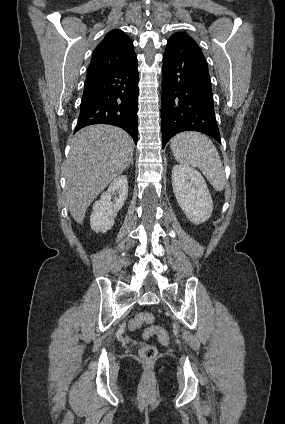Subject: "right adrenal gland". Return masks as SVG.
Listing matches in <instances>:
<instances>
[{
	"label": "right adrenal gland",
	"mask_w": 285,
	"mask_h": 424,
	"mask_svg": "<svg viewBox=\"0 0 285 424\" xmlns=\"http://www.w3.org/2000/svg\"><path fill=\"white\" fill-rule=\"evenodd\" d=\"M130 164L133 165V160H131Z\"/></svg>",
	"instance_id": "right-adrenal-gland-1"
}]
</instances>
